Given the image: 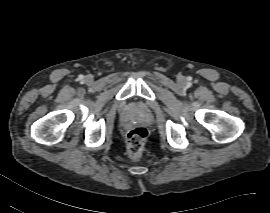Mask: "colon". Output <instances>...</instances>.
Masks as SVG:
<instances>
[{"mask_svg":"<svg viewBox=\"0 0 270 213\" xmlns=\"http://www.w3.org/2000/svg\"><path fill=\"white\" fill-rule=\"evenodd\" d=\"M148 132L143 127L130 130L127 134V151L131 159H138L146 144Z\"/></svg>","mask_w":270,"mask_h":213,"instance_id":"colon-1","label":"colon"}]
</instances>
